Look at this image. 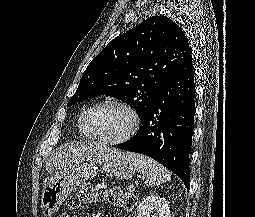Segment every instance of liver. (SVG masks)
Instances as JSON below:
<instances>
[{
	"label": "liver",
	"instance_id": "6515ba94",
	"mask_svg": "<svg viewBox=\"0 0 255 217\" xmlns=\"http://www.w3.org/2000/svg\"><path fill=\"white\" fill-rule=\"evenodd\" d=\"M108 150L109 148L100 144H66L47 158V173H56L73 163L83 162L85 159H96Z\"/></svg>",
	"mask_w": 255,
	"mask_h": 217
}]
</instances>
